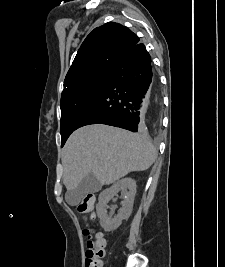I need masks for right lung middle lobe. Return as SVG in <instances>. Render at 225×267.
<instances>
[{
	"label": "right lung middle lobe",
	"instance_id": "dd1d6c3e",
	"mask_svg": "<svg viewBox=\"0 0 225 267\" xmlns=\"http://www.w3.org/2000/svg\"><path fill=\"white\" fill-rule=\"evenodd\" d=\"M110 73L89 77L64 88L61 95V126L62 146L91 106Z\"/></svg>",
	"mask_w": 225,
	"mask_h": 267
}]
</instances>
